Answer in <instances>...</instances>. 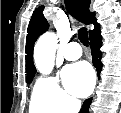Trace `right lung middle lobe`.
Here are the masks:
<instances>
[{"label":"right lung middle lobe","mask_w":121,"mask_h":113,"mask_svg":"<svg viewBox=\"0 0 121 113\" xmlns=\"http://www.w3.org/2000/svg\"><path fill=\"white\" fill-rule=\"evenodd\" d=\"M32 79H33V77H28V78H27V83L31 82Z\"/></svg>","instance_id":"right-lung-middle-lobe-1"}]
</instances>
